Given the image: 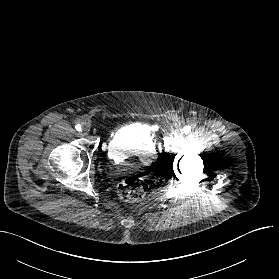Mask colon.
Instances as JSON below:
<instances>
[{"label": "colon", "instance_id": "1", "mask_svg": "<svg viewBox=\"0 0 279 279\" xmlns=\"http://www.w3.org/2000/svg\"><path fill=\"white\" fill-rule=\"evenodd\" d=\"M147 191V184L139 177L132 176L121 181L117 187V194L125 202L141 200Z\"/></svg>", "mask_w": 279, "mask_h": 279}]
</instances>
